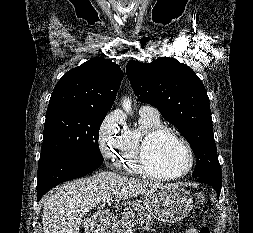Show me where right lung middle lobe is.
<instances>
[{
  "mask_svg": "<svg viewBox=\"0 0 253 233\" xmlns=\"http://www.w3.org/2000/svg\"><path fill=\"white\" fill-rule=\"evenodd\" d=\"M107 111L80 106H48L39 162L52 157L103 161L98 138Z\"/></svg>",
  "mask_w": 253,
  "mask_h": 233,
  "instance_id": "dd1d6c3e",
  "label": "right lung middle lobe"
}]
</instances>
